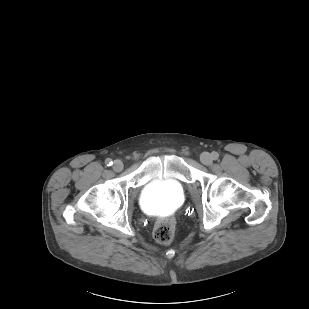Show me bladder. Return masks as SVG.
Returning <instances> with one entry per match:
<instances>
[{
	"instance_id": "31cf9c89",
	"label": "bladder",
	"mask_w": 309,
	"mask_h": 309,
	"mask_svg": "<svg viewBox=\"0 0 309 309\" xmlns=\"http://www.w3.org/2000/svg\"><path fill=\"white\" fill-rule=\"evenodd\" d=\"M184 200V187L175 179L152 180L144 185L139 195L140 206L152 214L174 211Z\"/></svg>"
}]
</instances>
